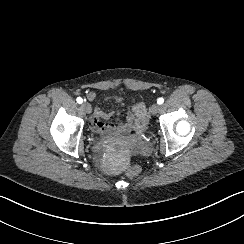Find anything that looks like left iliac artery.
Instances as JSON below:
<instances>
[{
	"mask_svg": "<svg viewBox=\"0 0 244 244\" xmlns=\"http://www.w3.org/2000/svg\"><path fill=\"white\" fill-rule=\"evenodd\" d=\"M164 102V99L163 98H159L158 100H157V103L158 104H162Z\"/></svg>",
	"mask_w": 244,
	"mask_h": 244,
	"instance_id": "obj_1",
	"label": "left iliac artery"
}]
</instances>
